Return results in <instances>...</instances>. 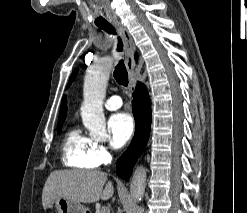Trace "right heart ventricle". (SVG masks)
<instances>
[{
    "instance_id": "right-heart-ventricle-1",
    "label": "right heart ventricle",
    "mask_w": 247,
    "mask_h": 213,
    "mask_svg": "<svg viewBox=\"0 0 247 213\" xmlns=\"http://www.w3.org/2000/svg\"><path fill=\"white\" fill-rule=\"evenodd\" d=\"M93 140L76 128H70L64 135L62 144V160L66 166L93 169L95 164L91 150Z\"/></svg>"
}]
</instances>
